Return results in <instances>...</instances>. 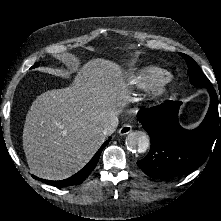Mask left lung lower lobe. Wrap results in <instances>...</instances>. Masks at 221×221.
<instances>
[{
    "label": "left lung lower lobe",
    "mask_w": 221,
    "mask_h": 221,
    "mask_svg": "<svg viewBox=\"0 0 221 221\" xmlns=\"http://www.w3.org/2000/svg\"><path fill=\"white\" fill-rule=\"evenodd\" d=\"M207 90L210 107L203 122L194 130H185L178 123L181 102L166 101L138 112V120L151 138L149 153L137 162L146 175L157 179L178 177L206 161L215 139H221L218 114L221 93H216L212 86Z\"/></svg>",
    "instance_id": "left-lung-lower-lobe-1"
}]
</instances>
